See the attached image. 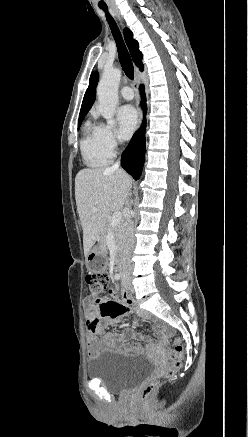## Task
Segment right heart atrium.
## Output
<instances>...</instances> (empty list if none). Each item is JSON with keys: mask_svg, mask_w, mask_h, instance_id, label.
Segmentation results:
<instances>
[{"mask_svg": "<svg viewBox=\"0 0 248 437\" xmlns=\"http://www.w3.org/2000/svg\"><path fill=\"white\" fill-rule=\"evenodd\" d=\"M99 134H100L101 144L104 150L110 156H113L117 147L121 143V139L119 135L113 128L105 124L99 125Z\"/></svg>", "mask_w": 248, "mask_h": 437, "instance_id": "right-heart-atrium-1", "label": "right heart atrium"}]
</instances>
